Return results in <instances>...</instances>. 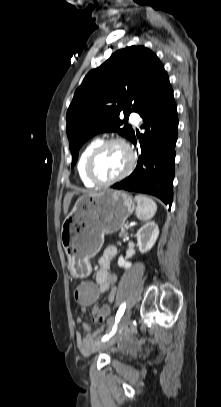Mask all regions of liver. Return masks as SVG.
Listing matches in <instances>:
<instances>
[{
	"instance_id": "1",
	"label": "liver",
	"mask_w": 221,
	"mask_h": 407,
	"mask_svg": "<svg viewBox=\"0 0 221 407\" xmlns=\"http://www.w3.org/2000/svg\"><path fill=\"white\" fill-rule=\"evenodd\" d=\"M75 192H68L65 197H64V201H63V209H64V214H67L71 200L74 196Z\"/></svg>"
}]
</instances>
